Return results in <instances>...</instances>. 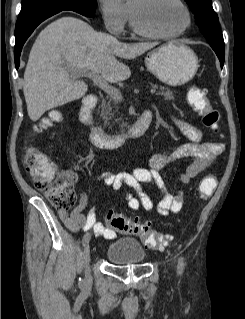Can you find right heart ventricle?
Segmentation results:
<instances>
[{"label":"right heart ventricle","mask_w":245,"mask_h":319,"mask_svg":"<svg viewBox=\"0 0 245 319\" xmlns=\"http://www.w3.org/2000/svg\"><path fill=\"white\" fill-rule=\"evenodd\" d=\"M127 13H128V20H129V22H130V13H129V8H127ZM130 24H131V22H130Z\"/></svg>","instance_id":"right-heart-ventricle-1"}]
</instances>
